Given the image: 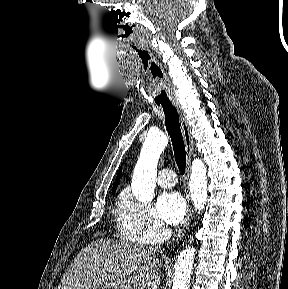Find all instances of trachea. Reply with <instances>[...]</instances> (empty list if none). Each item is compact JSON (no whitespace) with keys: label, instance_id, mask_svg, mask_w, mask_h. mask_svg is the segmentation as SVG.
<instances>
[{"label":"trachea","instance_id":"3493384b","mask_svg":"<svg viewBox=\"0 0 288 289\" xmlns=\"http://www.w3.org/2000/svg\"><path fill=\"white\" fill-rule=\"evenodd\" d=\"M137 54L143 68L149 71L151 75V96L154 101L163 108L165 114V125L172 141L175 160L179 170L184 174L186 168L185 145L180 129L177 109L168 100V91L164 83V72L147 50H137Z\"/></svg>","mask_w":288,"mask_h":289}]
</instances>
